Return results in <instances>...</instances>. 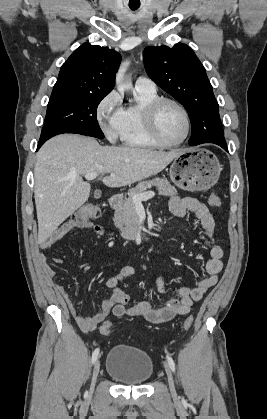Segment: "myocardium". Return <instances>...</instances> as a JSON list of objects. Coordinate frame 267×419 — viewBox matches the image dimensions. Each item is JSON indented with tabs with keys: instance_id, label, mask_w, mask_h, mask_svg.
<instances>
[{
	"instance_id": "obj_1",
	"label": "myocardium",
	"mask_w": 267,
	"mask_h": 419,
	"mask_svg": "<svg viewBox=\"0 0 267 419\" xmlns=\"http://www.w3.org/2000/svg\"><path fill=\"white\" fill-rule=\"evenodd\" d=\"M167 103L175 105L182 112L185 120V133L183 137L179 141L173 143L167 142L162 138L157 125L158 112L160 108ZM144 121L148 134L161 147L172 148L180 146L188 138L191 129L190 116L185 106L179 101L168 97H159L149 103L144 111Z\"/></svg>"
}]
</instances>
